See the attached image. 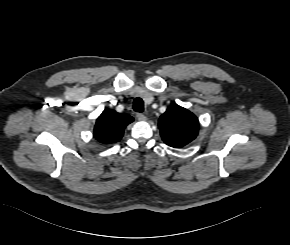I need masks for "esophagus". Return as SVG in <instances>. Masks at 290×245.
Listing matches in <instances>:
<instances>
[{
	"label": "esophagus",
	"instance_id": "obj_1",
	"mask_svg": "<svg viewBox=\"0 0 290 245\" xmlns=\"http://www.w3.org/2000/svg\"><path fill=\"white\" fill-rule=\"evenodd\" d=\"M136 118L139 120V121H145L146 120V116L142 113H137L136 114Z\"/></svg>",
	"mask_w": 290,
	"mask_h": 245
}]
</instances>
